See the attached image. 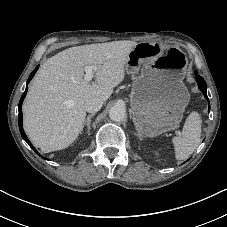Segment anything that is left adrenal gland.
<instances>
[{
  "instance_id": "a2214340",
  "label": "left adrenal gland",
  "mask_w": 227,
  "mask_h": 227,
  "mask_svg": "<svg viewBox=\"0 0 227 227\" xmlns=\"http://www.w3.org/2000/svg\"><path fill=\"white\" fill-rule=\"evenodd\" d=\"M139 138L141 139V134L138 133Z\"/></svg>"
}]
</instances>
